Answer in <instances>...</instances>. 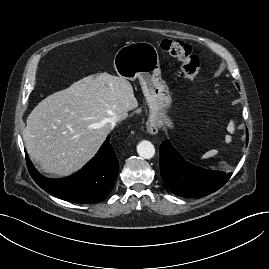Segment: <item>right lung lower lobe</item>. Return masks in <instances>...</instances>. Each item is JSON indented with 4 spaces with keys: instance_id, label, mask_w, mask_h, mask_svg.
<instances>
[{
    "instance_id": "right-lung-lower-lobe-1",
    "label": "right lung lower lobe",
    "mask_w": 269,
    "mask_h": 269,
    "mask_svg": "<svg viewBox=\"0 0 269 269\" xmlns=\"http://www.w3.org/2000/svg\"><path fill=\"white\" fill-rule=\"evenodd\" d=\"M107 137L97 154L77 173L62 179L42 176L26 154L29 172L45 191L73 203L103 201L112 190L119 171V162Z\"/></svg>"
}]
</instances>
